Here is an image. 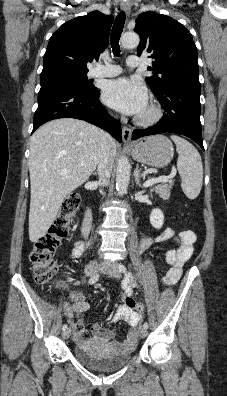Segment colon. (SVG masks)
<instances>
[{"mask_svg": "<svg viewBox=\"0 0 227 396\" xmlns=\"http://www.w3.org/2000/svg\"><path fill=\"white\" fill-rule=\"evenodd\" d=\"M79 205V196L71 195L67 197L48 232L34 244L30 253V261L37 284L46 285L55 276L58 266L53 258L54 254L62 239L67 236L68 222L76 213ZM126 304L138 312L143 311V306L136 303L134 299H127Z\"/></svg>", "mask_w": 227, "mask_h": 396, "instance_id": "1", "label": "colon"}]
</instances>
